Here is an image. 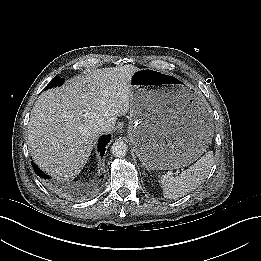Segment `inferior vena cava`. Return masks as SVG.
Segmentation results:
<instances>
[{"mask_svg": "<svg viewBox=\"0 0 261 261\" xmlns=\"http://www.w3.org/2000/svg\"><path fill=\"white\" fill-rule=\"evenodd\" d=\"M91 128L96 133H101L108 130V123L102 117H97L91 125Z\"/></svg>", "mask_w": 261, "mask_h": 261, "instance_id": "obj_1", "label": "inferior vena cava"}]
</instances>
